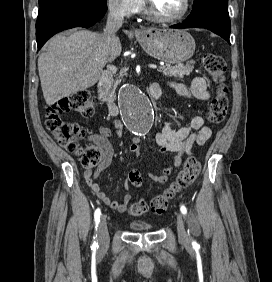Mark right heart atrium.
I'll list each match as a JSON object with an SVG mask.
<instances>
[{
	"label": "right heart atrium",
	"mask_w": 272,
	"mask_h": 282,
	"mask_svg": "<svg viewBox=\"0 0 272 282\" xmlns=\"http://www.w3.org/2000/svg\"><path fill=\"white\" fill-rule=\"evenodd\" d=\"M107 4L111 14L117 17H128L141 6L140 0H107Z\"/></svg>",
	"instance_id": "right-heart-atrium-1"
}]
</instances>
